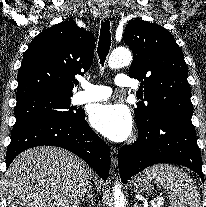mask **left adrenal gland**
Listing matches in <instances>:
<instances>
[{"instance_id": "1", "label": "left adrenal gland", "mask_w": 206, "mask_h": 207, "mask_svg": "<svg viewBox=\"0 0 206 207\" xmlns=\"http://www.w3.org/2000/svg\"><path fill=\"white\" fill-rule=\"evenodd\" d=\"M134 207H140V205L138 204L137 200L134 201Z\"/></svg>"}]
</instances>
